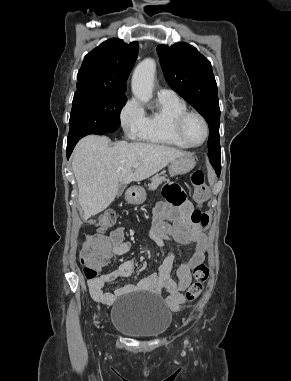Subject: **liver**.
<instances>
[{
	"instance_id": "6515ba94",
	"label": "liver",
	"mask_w": 291,
	"mask_h": 381,
	"mask_svg": "<svg viewBox=\"0 0 291 381\" xmlns=\"http://www.w3.org/2000/svg\"><path fill=\"white\" fill-rule=\"evenodd\" d=\"M109 143L110 139L105 136H86L78 142L72 156L78 199L85 221L114 201L120 183L147 179L176 158L187 154L176 148L152 143L120 141L112 147ZM134 163H139V166L133 172Z\"/></svg>"
}]
</instances>
